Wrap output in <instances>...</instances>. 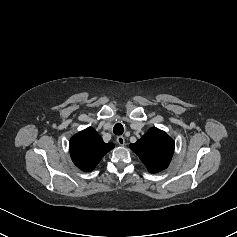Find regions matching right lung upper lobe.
<instances>
[{"instance_id": "obj_1", "label": "right lung upper lobe", "mask_w": 237, "mask_h": 237, "mask_svg": "<svg viewBox=\"0 0 237 237\" xmlns=\"http://www.w3.org/2000/svg\"><path fill=\"white\" fill-rule=\"evenodd\" d=\"M113 148L114 144L104 143L92 127L75 134L69 142L72 161L85 172L93 170L102 157Z\"/></svg>"}]
</instances>
